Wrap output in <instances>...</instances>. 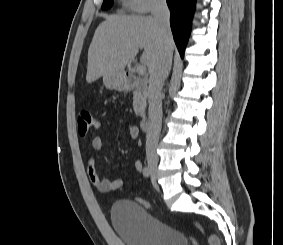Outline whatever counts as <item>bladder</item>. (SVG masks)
<instances>
[{
  "instance_id": "obj_1",
  "label": "bladder",
  "mask_w": 283,
  "mask_h": 245,
  "mask_svg": "<svg viewBox=\"0 0 283 245\" xmlns=\"http://www.w3.org/2000/svg\"><path fill=\"white\" fill-rule=\"evenodd\" d=\"M110 218L114 230L125 245H188L181 231L154 218L137 202L115 201Z\"/></svg>"
}]
</instances>
